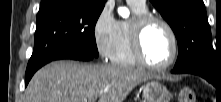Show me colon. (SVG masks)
Masks as SVG:
<instances>
[{"instance_id": "5ec220e1", "label": "colon", "mask_w": 221, "mask_h": 102, "mask_svg": "<svg viewBox=\"0 0 221 102\" xmlns=\"http://www.w3.org/2000/svg\"><path fill=\"white\" fill-rule=\"evenodd\" d=\"M179 102H196L195 92L190 88H183L179 93Z\"/></svg>"}]
</instances>
